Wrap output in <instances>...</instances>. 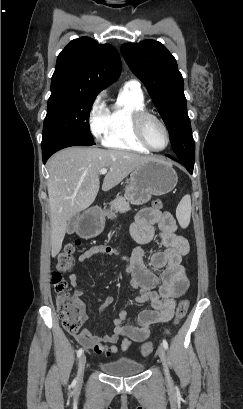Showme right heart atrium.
Segmentation results:
<instances>
[{
  "label": "right heart atrium",
  "mask_w": 243,
  "mask_h": 409,
  "mask_svg": "<svg viewBox=\"0 0 243 409\" xmlns=\"http://www.w3.org/2000/svg\"><path fill=\"white\" fill-rule=\"evenodd\" d=\"M104 96V92H101L94 98L88 113V124L92 134L95 138L103 140L110 128V113L105 105Z\"/></svg>",
  "instance_id": "obj_1"
}]
</instances>
